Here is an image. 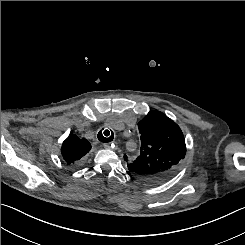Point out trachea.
<instances>
[{
	"label": "trachea",
	"mask_w": 245,
	"mask_h": 245,
	"mask_svg": "<svg viewBox=\"0 0 245 245\" xmlns=\"http://www.w3.org/2000/svg\"><path fill=\"white\" fill-rule=\"evenodd\" d=\"M97 137L99 141L108 143L114 139V134L112 130L105 129V130H100Z\"/></svg>",
	"instance_id": "obj_1"
}]
</instances>
